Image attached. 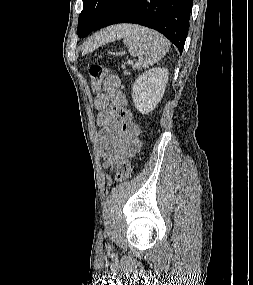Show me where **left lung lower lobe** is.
I'll return each instance as SVG.
<instances>
[{
	"instance_id": "obj_1",
	"label": "left lung lower lobe",
	"mask_w": 253,
	"mask_h": 285,
	"mask_svg": "<svg viewBox=\"0 0 253 285\" xmlns=\"http://www.w3.org/2000/svg\"><path fill=\"white\" fill-rule=\"evenodd\" d=\"M193 0H113L94 30L117 23H135L166 36L180 53L188 34Z\"/></svg>"
}]
</instances>
